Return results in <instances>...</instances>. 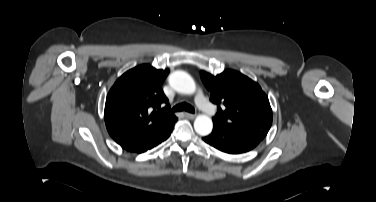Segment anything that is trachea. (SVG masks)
Returning a JSON list of instances; mask_svg holds the SVG:
<instances>
[{"mask_svg":"<svg viewBox=\"0 0 376 202\" xmlns=\"http://www.w3.org/2000/svg\"><path fill=\"white\" fill-rule=\"evenodd\" d=\"M173 112H178V111H187L190 113H194V107H192L190 104H187L185 102L180 103L172 108Z\"/></svg>","mask_w":376,"mask_h":202,"instance_id":"1","label":"trachea"}]
</instances>
